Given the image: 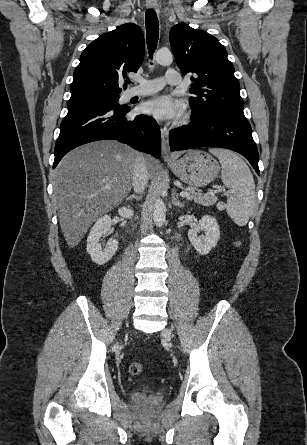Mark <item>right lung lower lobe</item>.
I'll return each instance as SVG.
<instances>
[{
  "label": "right lung lower lobe",
  "instance_id": "obj_1",
  "mask_svg": "<svg viewBox=\"0 0 307 445\" xmlns=\"http://www.w3.org/2000/svg\"><path fill=\"white\" fill-rule=\"evenodd\" d=\"M130 109L113 102L86 103L68 107L55 145L53 168L73 148L103 139H115L158 158L161 135L157 122L146 115L127 119Z\"/></svg>",
  "mask_w": 307,
  "mask_h": 445
}]
</instances>
